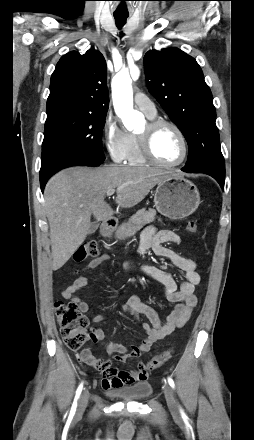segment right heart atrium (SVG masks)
<instances>
[{"label":"right heart atrium","mask_w":254,"mask_h":440,"mask_svg":"<svg viewBox=\"0 0 254 440\" xmlns=\"http://www.w3.org/2000/svg\"><path fill=\"white\" fill-rule=\"evenodd\" d=\"M104 143L115 162H124L130 152L133 137L123 129L112 116H107L103 124Z\"/></svg>","instance_id":"right-heart-atrium-1"}]
</instances>
